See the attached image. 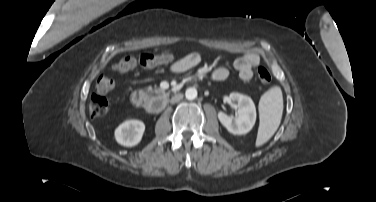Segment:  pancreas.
<instances>
[{"mask_svg": "<svg viewBox=\"0 0 376 202\" xmlns=\"http://www.w3.org/2000/svg\"><path fill=\"white\" fill-rule=\"evenodd\" d=\"M146 93H148V94H150V95H153V94H155V95H161V96H165L166 94H165V91L163 90V89H161V88H152V87H148V88H146Z\"/></svg>", "mask_w": 376, "mask_h": 202, "instance_id": "1", "label": "pancreas"}]
</instances>
